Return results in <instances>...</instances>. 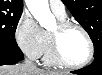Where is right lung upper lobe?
Returning a JSON list of instances; mask_svg holds the SVG:
<instances>
[{
    "mask_svg": "<svg viewBox=\"0 0 102 75\" xmlns=\"http://www.w3.org/2000/svg\"><path fill=\"white\" fill-rule=\"evenodd\" d=\"M0 5L23 8L22 0H0Z\"/></svg>",
    "mask_w": 102,
    "mask_h": 75,
    "instance_id": "cb5924a9",
    "label": "right lung upper lobe"
}]
</instances>
